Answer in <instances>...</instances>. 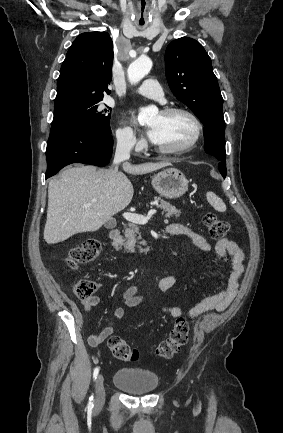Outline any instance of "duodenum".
I'll return each mask as SVG.
<instances>
[{"label": "duodenum", "instance_id": "1", "mask_svg": "<svg viewBox=\"0 0 283 433\" xmlns=\"http://www.w3.org/2000/svg\"><path fill=\"white\" fill-rule=\"evenodd\" d=\"M109 239L114 246H119L122 242L121 232L119 229H112L109 232Z\"/></svg>", "mask_w": 283, "mask_h": 433}]
</instances>
